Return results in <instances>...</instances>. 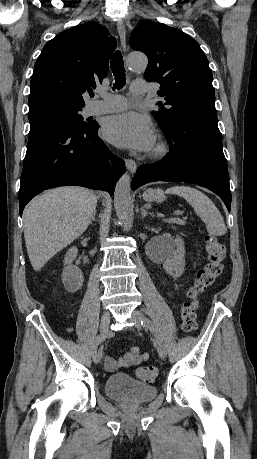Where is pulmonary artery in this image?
Wrapping results in <instances>:
<instances>
[{
    "mask_svg": "<svg viewBox=\"0 0 257 459\" xmlns=\"http://www.w3.org/2000/svg\"><path fill=\"white\" fill-rule=\"evenodd\" d=\"M148 92L144 80H134L131 84V93L140 96ZM101 100H95L87 106V113L90 115L117 112L125 109L128 102L125 97L116 94L102 95Z\"/></svg>",
    "mask_w": 257,
    "mask_h": 459,
    "instance_id": "obj_1",
    "label": "pulmonary artery"
}]
</instances>
